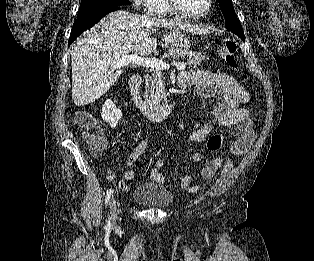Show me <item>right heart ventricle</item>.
Listing matches in <instances>:
<instances>
[{
    "label": "right heart ventricle",
    "instance_id": "right-heart-ventricle-1",
    "mask_svg": "<svg viewBox=\"0 0 314 261\" xmlns=\"http://www.w3.org/2000/svg\"><path fill=\"white\" fill-rule=\"evenodd\" d=\"M155 15H161V16H173L176 15L175 12H173L166 4L165 0H156L154 5L152 6L150 10Z\"/></svg>",
    "mask_w": 314,
    "mask_h": 261
}]
</instances>
